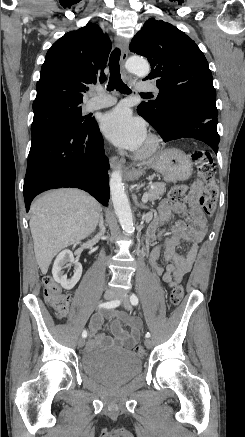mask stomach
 Segmentation results:
<instances>
[{
	"label": "stomach",
	"instance_id": "1",
	"mask_svg": "<svg viewBox=\"0 0 245 437\" xmlns=\"http://www.w3.org/2000/svg\"><path fill=\"white\" fill-rule=\"evenodd\" d=\"M149 168L160 172L166 182L187 180L193 171L190 158L178 149H166L159 152L149 163ZM145 168L133 169L129 180H135L144 173Z\"/></svg>",
	"mask_w": 245,
	"mask_h": 437
}]
</instances>
